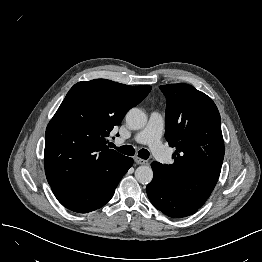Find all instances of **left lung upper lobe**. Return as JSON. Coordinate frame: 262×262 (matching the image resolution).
<instances>
[{"mask_svg": "<svg viewBox=\"0 0 262 262\" xmlns=\"http://www.w3.org/2000/svg\"><path fill=\"white\" fill-rule=\"evenodd\" d=\"M167 99L165 137L176 147L163 165L170 186L200 208L219 178L224 142L219 111L210 97L188 84L160 86Z\"/></svg>", "mask_w": 262, "mask_h": 262, "instance_id": "1", "label": "left lung upper lobe"}]
</instances>
